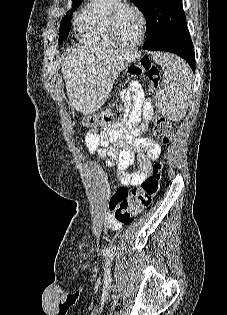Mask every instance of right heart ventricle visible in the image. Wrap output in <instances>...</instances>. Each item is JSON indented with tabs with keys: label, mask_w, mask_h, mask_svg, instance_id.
<instances>
[{
	"label": "right heart ventricle",
	"mask_w": 227,
	"mask_h": 315,
	"mask_svg": "<svg viewBox=\"0 0 227 315\" xmlns=\"http://www.w3.org/2000/svg\"><path fill=\"white\" fill-rule=\"evenodd\" d=\"M119 0H87L78 13L76 23L84 40L92 45L113 46L107 34V19Z\"/></svg>",
	"instance_id": "right-heart-ventricle-1"
}]
</instances>
